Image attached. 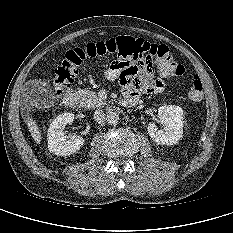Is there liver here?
<instances>
[{
	"label": "liver",
	"mask_w": 233,
	"mask_h": 233,
	"mask_svg": "<svg viewBox=\"0 0 233 233\" xmlns=\"http://www.w3.org/2000/svg\"><path fill=\"white\" fill-rule=\"evenodd\" d=\"M29 98H30L29 95H25L26 102L28 101ZM26 123H27V127L31 133L32 138L34 139L36 143H39L41 141V134H40L39 127L36 121L29 117Z\"/></svg>",
	"instance_id": "6515ba94"
}]
</instances>
